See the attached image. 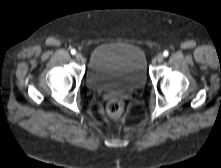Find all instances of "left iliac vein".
<instances>
[{"label": "left iliac vein", "instance_id": "1", "mask_svg": "<svg viewBox=\"0 0 221 168\" xmlns=\"http://www.w3.org/2000/svg\"><path fill=\"white\" fill-rule=\"evenodd\" d=\"M156 60L158 63H161L164 60V55L163 54H158L156 57Z\"/></svg>", "mask_w": 221, "mask_h": 168}]
</instances>
